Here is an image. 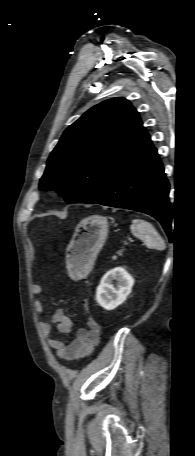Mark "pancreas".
<instances>
[{
  "mask_svg": "<svg viewBox=\"0 0 195 456\" xmlns=\"http://www.w3.org/2000/svg\"><path fill=\"white\" fill-rule=\"evenodd\" d=\"M122 252H123V250L118 251V255L121 256V255H122ZM116 258H117L116 256H113V257H112V259H116Z\"/></svg>",
  "mask_w": 195,
  "mask_h": 456,
  "instance_id": "obj_1",
  "label": "pancreas"
}]
</instances>
